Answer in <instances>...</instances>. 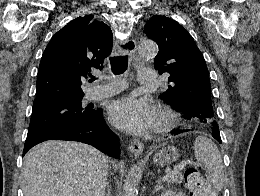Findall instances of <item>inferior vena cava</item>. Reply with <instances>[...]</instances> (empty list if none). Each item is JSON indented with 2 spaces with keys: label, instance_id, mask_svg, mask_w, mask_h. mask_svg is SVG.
I'll use <instances>...</instances> for the list:
<instances>
[{
  "label": "inferior vena cava",
  "instance_id": "inferior-vena-cava-1",
  "mask_svg": "<svg viewBox=\"0 0 260 196\" xmlns=\"http://www.w3.org/2000/svg\"><path fill=\"white\" fill-rule=\"evenodd\" d=\"M94 196H105L104 192H101V190H96Z\"/></svg>",
  "mask_w": 260,
  "mask_h": 196
}]
</instances>
